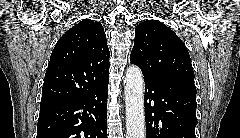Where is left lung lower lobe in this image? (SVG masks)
Instances as JSON below:
<instances>
[{
  "instance_id": "1",
  "label": "left lung lower lobe",
  "mask_w": 240,
  "mask_h": 138,
  "mask_svg": "<svg viewBox=\"0 0 240 138\" xmlns=\"http://www.w3.org/2000/svg\"><path fill=\"white\" fill-rule=\"evenodd\" d=\"M144 80L146 138H196L194 81Z\"/></svg>"
}]
</instances>
